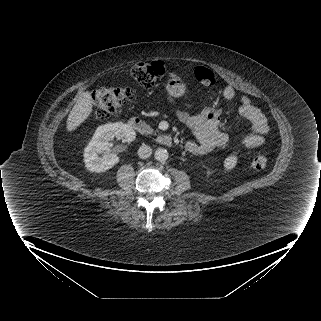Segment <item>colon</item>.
<instances>
[{
	"mask_svg": "<svg viewBox=\"0 0 321 321\" xmlns=\"http://www.w3.org/2000/svg\"><path fill=\"white\" fill-rule=\"evenodd\" d=\"M165 68L162 62L153 61L136 64L131 75L143 88H152L164 76ZM197 80L206 86H213L217 81L215 71L206 66H199L195 70ZM133 97L131 88L101 87L93 91L91 102L96 114L101 119L119 115L122 106ZM268 164L265 155H258L252 161V167L261 170Z\"/></svg>",
	"mask_w": 321,
	"mask_h": 321,
	"instance_id": "obj_1",
	"label": "colon"
}]
</instances>
